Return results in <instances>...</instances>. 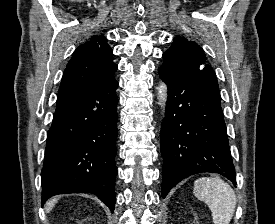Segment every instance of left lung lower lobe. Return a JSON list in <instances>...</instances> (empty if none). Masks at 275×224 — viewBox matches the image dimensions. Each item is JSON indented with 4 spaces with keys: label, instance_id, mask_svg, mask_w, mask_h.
<instances>
[{
    "label": "left lung lower lobe",
    "instance_id": "0a47b994",
    "mask_svg": "<svg viewBox=\"0 0 275 224\" xmlns=\"http://www.w3.org/2000/svg\"><path fill=\"white\" fill-rule=\"evenodd\" d=\"M160 133L163 156L162 197L182 179L214 172L236 184L219 91L195 78L171 79Z\"/></svg>",
    "mask_w": 275,
    "mask_h": 224
}]
</instances>
